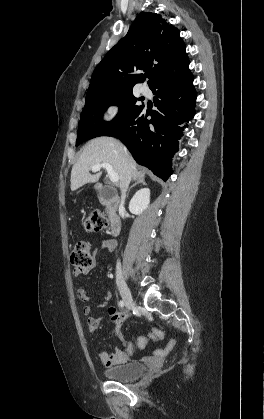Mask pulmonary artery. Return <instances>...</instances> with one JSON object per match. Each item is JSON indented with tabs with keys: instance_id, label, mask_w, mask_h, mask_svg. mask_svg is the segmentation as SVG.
Here are the masks:
<instances>
[{
	"instance_id": "pulmonary-artery-1",
	"label": "pulmonary artery",
	"mask_w": 264,
	"mask_h": 419,
	"mask_svg": "<svg viewBox=\"0 0 264 419\" xmlns=\"http://www.w3.org/2000/svg\"><path fill=\"white\" fill-rule=\"evenodd\" d=\"M141 93L144 95H147L149 93V89L147 86H142L141 87Z\"/></svg>"
}]
</instances>
